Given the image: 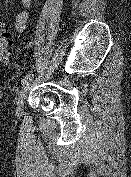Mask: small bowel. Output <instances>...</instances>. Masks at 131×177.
<instances>
[{
  "mask_svg": "<svg viewBox=\"0 0 131 177\" xmlns=\"http://www.w3.org/2000/svg\"><path fill=\"white\" fill-rule=\"evenodd\" d=\"M19 3L24 9H27L30 7L32 0H19ZM28 18L29 15L26 10L17 14L15 18V30L17 32L22 33L26 29Z\"/></svg>",
  "mask_w": 131,
  "mask_h": 177,
  "instance_id": "1",
  "label": "small bowel"
}]
</instances>
